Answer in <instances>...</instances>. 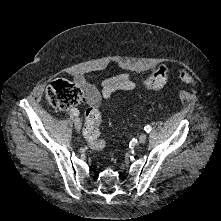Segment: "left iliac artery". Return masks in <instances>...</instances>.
I'll use <instances>...</instances> for the list:
<instances>
[{
  "label": "left iliac artery",
  "instance_id": "44dca946",
  "mask_svg": "<svg viewBox=\"0 0 221 221\" xmlns=\"http://www.w3.org/2000/svg\"><path fill=\"white\" fill-rule=\"evenodd\" d=\"M144 130H145L147 133H149V132H151L152 127H151L150 125H146V126L144 127Z\"/></svg>",
  "mask_w": 221,
  "mask_h": 221
}]
</instances>
